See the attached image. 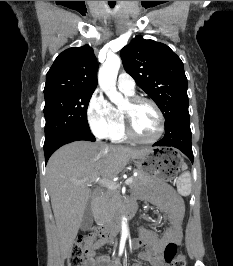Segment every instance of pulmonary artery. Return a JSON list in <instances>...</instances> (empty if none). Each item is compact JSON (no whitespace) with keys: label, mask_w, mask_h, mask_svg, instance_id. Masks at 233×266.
Returning a JSON list of instances; mask_svg holds the SVG:
<instances>
[{"label":"pulmonary artery","mask_w":233,"mask_h":266,"mask_svg":"<svg viewBox=\"0 0 233 266\" xmlns=\"http://www.w3.org/2000/svg\"><path fill=\"white\" fill-rule=\"evenodd\" d=\"M118 88L128 94H133L135 92V81L127 73H121L118 77Z\"/></svg>","instance_id":"e3ab8cb5"}]
</instances>
